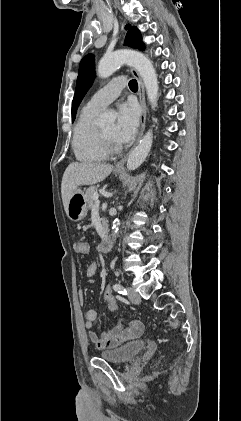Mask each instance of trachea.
Returning a JSON list of instances; mask_svg holds the SVG:
<instances>
[{"instance_id":"3493384b","label":"trachea","mask_w":241,"mask_h":421,"mask_svg":"<svg viewBox=\"0 0 241 421\" xmlns=\"http://www.w3.org/2000/svg\"><path fill=\"white\" fill-rule=\"evenodd\" d=\"M129 88H130L132 91H135V90H137V89H138V84H137V81H136L135 79H133V80H131V81L129 82Z\"/></svg>"}]
</instances>
